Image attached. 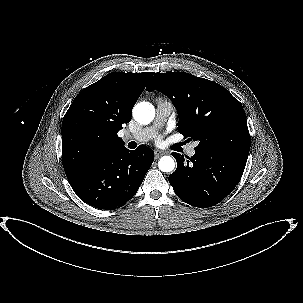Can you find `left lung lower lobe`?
Returning a JSON list of instances; mask_svg holds the SVG:
<instances>
[{
	"label": "left lung lower lobe",
	"mask_w": 303,
	"mask_h": 303,
	"mask_svg": "<svg viewBox=\"0 0 303 303\" xmlns=\"http://www.w3.org/2000/svg\"><path fill=\"white\" fill-rule=\"evenodd\" d=\"M249 152L221 149H196L185 160L173 153L177 169L169 176L177 196L195 207H211L222 201L238 184Z\"/></svg>",
	"instance_id": "obj_1"
}]
</instances>
